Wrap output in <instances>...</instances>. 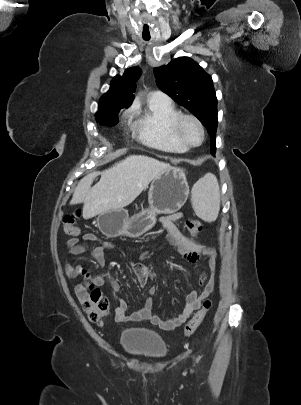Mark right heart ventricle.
I'll use <instances>...</instances> for the list:
<instances>
[{
	"instance_id": "e07e8e85",
	"label": "right heart ventricle",
	"mask_w": 301,
	"mask_h": 405,
	"mask_svg": "<svg viewBox=\"0 0 301 405\" xmlns=\"http://www.w3.org/2000/svg\"><path fill=\"white\" fill-rule=\"evenodd\" d=\"M179 114L172 104L149 101L144 110L131 112V126L145 145L168 153H183L188 148L173 131V122Z\"/></svg>"
}]
</instances>
